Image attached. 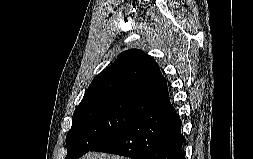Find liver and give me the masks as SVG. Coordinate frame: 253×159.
Masks as SVG:
<instances>
[{"instance_id":"6515ba94","label":"liver","mask_w":253,"mask_h":159,"mask_svg":"<svg viewBox=\"0 0 253 159\" xmlns=\"http://www.w3.org/2000/svg\"><path fill=\"white\" fill-rule=\"evenodd\" d=\"M81 159H128V158L99 152H88Z\"/></svg>"}]
</instances>
